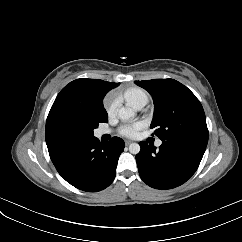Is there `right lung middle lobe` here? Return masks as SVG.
Instances as JSON below:
<instances>
[{"label":"right lung middle lobe","mask_w":242,"mask_h":242,"mask_svg":"<svg viewBox=\"0 0 242 242\" xmlns=\"http://www.w3.org/2000/svg\"><path fill=\"white\" fill-rule=\"evenodd\" d=\"M103 122H108L107 116L102 119L73 117L68 119L67 125L74 130L82 131L85 137H91L94 136L93 130L98 127L99 123Z\"/></svg>","instance_id":"dd1d6c3e"}]
</instances>
